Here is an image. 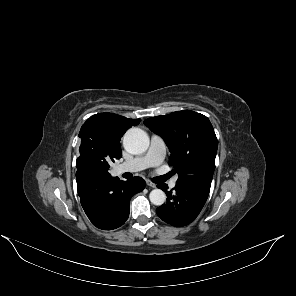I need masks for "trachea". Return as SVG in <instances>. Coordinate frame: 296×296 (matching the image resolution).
Masks as SVG:
<instances>
[{
  "label": "trachea",
  "mask_w": 296,
  "mask_h": 296,
  "mask_svg": "<svg viewBox=\"0 0 296 296\" xmlns=\"http://www.w3.org/2000/svg\"><path fill=\"white\" fill-rule=\"evenodd\" d=\"M158 180H159L158 178L153 179V181H154L155 183H157Z\"/></svg>",
  "instance_id": "obj_1"
}]
</instances>
